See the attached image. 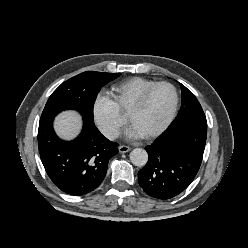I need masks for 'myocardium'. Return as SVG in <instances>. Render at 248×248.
I'll list each match as a JSON object with an SVG mask.
<instances>
[{"label": "myocardium", "mask_w": 248, "mask_h": 248, "mask_svg": "<svg viewBox=\"0 0 248 248\" xmlns=\"http://www.w3.org/2000/svg\"><path fill=\"white\" fill-rule=\"evenodd\" d=\"M159 86H167L169 87L172 91H173V95H174V100H173V106L171 109V112L169 114V116L167 117V119L164 121V123L155 131H153L152 133L143 136L145 139H154L158 136H160L161 134H163L168 127L171 125V123L173 122V120L175 119V116L177 114V110H178V104H179V94L178 91L176 89V87L171 84L170 82L167 81H159V82H155L154 84H152L151 86H149L148 88H146L137 98V100L132 104V106L129 108L128 112H127V119L128 122L131 124V119L132 116L139 112L145 105L147 98L149 97L150 93Z\"/></svg>", "instance_id": "myocardium-1"}]
</instances>
